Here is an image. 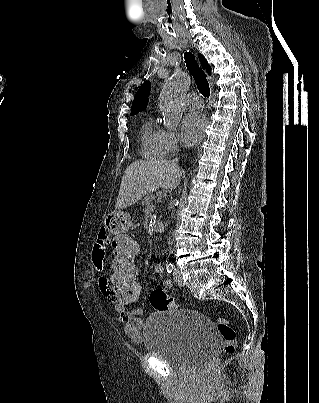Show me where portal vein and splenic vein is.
I'll return each mask as SVG.
<instances>
[{"instance_id": "1", "label": "portal vein and splenic vein", "mask_w": 319, "mask_h": 403, "mask_svg": "<svg viewBox=\"0 0 319 403\" xmlns=\"http://www.w3.org/2000/svg\"><path fill=\"white\" fill-rule=\"evenodd\" d=\"M155 209H156L155 206H151V207H150V210H152V211H154Z\"/></svg>"}]
</instances>
